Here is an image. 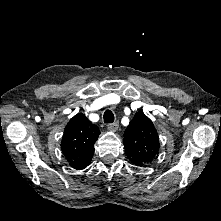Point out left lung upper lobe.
<instances>
[{
    "label": "left lung upper lobe",
    "instance_id": "obj_1",
    "mask_svg": "<svg viewBox=\"0 0 221 221\" xmlns=\"http://www.w3.org/2000/svg\"><path fill=\"white\" fill-rule=\"evenodd\" d=\"M124 148L129 160L143 166L159 151V137L152 121L143 112H136L124 134Z\"/></svg>",
    "mask_w": 221,
    "mask_h": 221
}]
</instances>
